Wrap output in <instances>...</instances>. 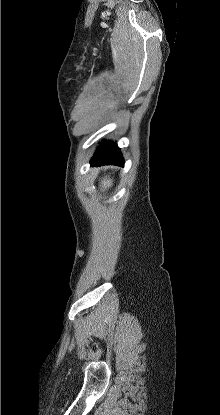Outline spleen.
Instances as JSON below:
<instances>
[{
  "label": "spleen",
  "mask_w": 220,
  "mask_h": 415,
  "mask_svg": "<svg viewBox=\"0 0 220 415\" xmlns=\"http://www.w3.org/2000/svg\"><path fill=\"white\" fill-rule=\"evenodd\" d=\"M112 185V181L111 180H103L102 181V187L107 188L110 187Z\"/></svg>",
  "instance_id": "1"
}]
</instances>
